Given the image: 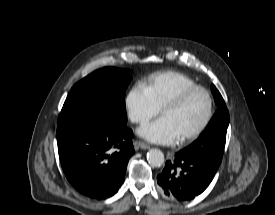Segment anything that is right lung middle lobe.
I'll use <instances>...</instances> for the list:
<instances>
[{"mask_svg": "<svg viewBox=\"0 0 275 215\" xmlns=\"http://www.w3.org/2000/svg\"><path fill=\"white\" fill-rule=\"evenodd\" d=\"M130 80L131 71L105 67L77 82L63 105L57 129L106 122L126 124L124 98Z\"/></svg>", "mask_w": 275, "mask_h": 215, "instance_id": "dd1d6c3e", "label": "right lung middle lobe"}]
</instances>
